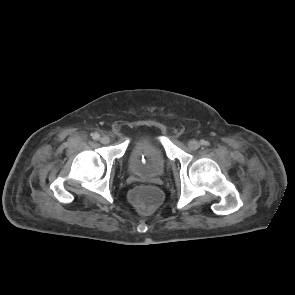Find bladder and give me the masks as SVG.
Returning <instances> with one entry per match:
<instances>
[{"instance_id": "obj_1", "label": "bladder", "mask_w": 295, "mask_h": 295, "mask_svg": "<svg viewBox=\"0 0 295 295\" xmlns=\"http://www.w3.org/2000/svg\"><path fill=\"white\" fill-rule=\"evenodd\" d=\"M127 165L129 171L137 176L155 178L166 171L168 158L159 142L145 140L130 148Z\"/></svg>"}]
</instances>
